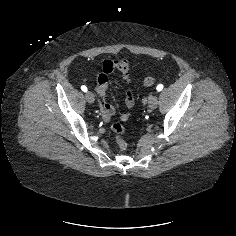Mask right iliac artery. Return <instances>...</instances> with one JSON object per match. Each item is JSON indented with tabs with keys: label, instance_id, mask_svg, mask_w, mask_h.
Returning <instances> with one entry per match:
<instances>
[{
	"label": "right iliac artery",
	"instance_id": "1",
	"mask_svg": "<svg viewBox=\"0 0 236 236\" xmlns=\"http://www.w3.org/2000/svg\"><path fill=\"white\" fill-rule=\"evenodd\" d=\"M81 90L83 91V92H87V87L86 86H81Z\"/></svg>",
	"mask_w": 236,
	"mask_h": 236
}]
</instances>
